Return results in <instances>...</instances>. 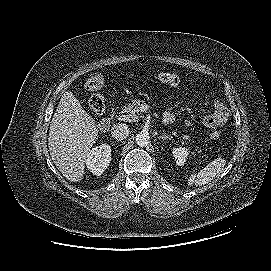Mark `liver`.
<instances>
[{
    "instance_id": "obj_1",
    "label": "liver",
    "mask_w": 271,
    "mask_h": 271,
    "mask_svg": "<svg viewBox=\"0 0 271 271\" xmlns=\"http://www.w3.org/2000/svg\"><path fill=\"white\" fill-rule=\"evenodd\" d=\"M98 137L97 125L71 91H66L53 115L48 147L54 164L70 182L85 174L86 156Z\"/></svg>"
}]
</instances>
